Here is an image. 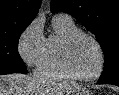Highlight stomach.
Here are the masks:
<instances>
[{"label": "stomach", "instance_id": "obj_1", "mask_svg": "<svg viewBox=\"0 0 119 95\" xmlns=\"http://www.w3.org/2000/svg\"><path fill=\"white\" fill-rule=\"evenodd\" d=\"M66 95H93V93L84 87H78V88L73 89Z\"/></svg>", "mask_w": 119, "mask_h": 95}]
</instances>
